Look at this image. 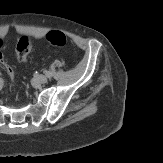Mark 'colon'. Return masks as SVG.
<instances>
[{
	"label": "colon",
	"mask_w": 163,
	"mask_h": 163,
	"mask_svg": "<svg viewBox=\"0 0 163 163\" xmlns=\"http://www.w3.org/2000/svg\"><path fill=\"white\" fill-rule=\"evenodd\" d=\"M46 40L49 44L62 47L66 44V36L61 31H51L47 34ZM32 41L28 37H22L16 45V57L20 62H26L29 58V54L32 50ZM2 43L0 42V67L5 70L8 76L13 80L14 72L8 65L2 54Z\"/></svg>",
	"instance_id": "colon-1"
}]
</instances>
